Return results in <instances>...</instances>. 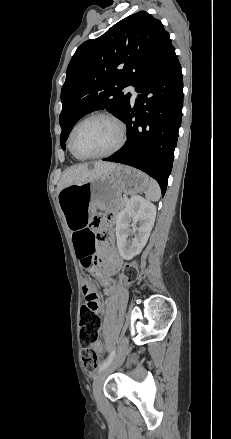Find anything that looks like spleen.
I'll return each instance as SVG.
<instances>
[{"label":"spleen","mask_w":231,"mask_h":439,"mask_svg":"<svg viewBox=\"0 0 231 439\" xmlns=\"http://www.w3.org/2000/svg\"><path fill=\"white\" fill-rule=\"evenodd\" d=\"M146 199L149 201H158L161 196V190L159 184L154 180L150 179L148 189L145 193Z\"/></svg>","instance_id":"spleen-1"}]
</instances>
